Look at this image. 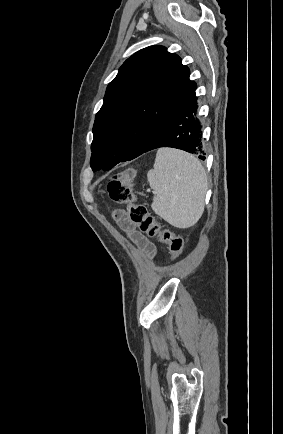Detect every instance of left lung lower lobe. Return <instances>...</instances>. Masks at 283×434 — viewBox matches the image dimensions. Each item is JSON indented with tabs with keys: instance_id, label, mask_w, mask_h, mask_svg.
Masks as SVG:
<instances>
[{
	"instance_id": "1",
	"label": "left lung lower lobe",
	"mask_w": 283,
	"mask_h": 434,
	"mask_svg": "<svg viewBox=\"0 0 283 434\" xmlns=\"http://www.w3.org/2000/svg\"><path fill=\"white\" fill-rule=\"evenodd\" d=\"M197 108V98L193 91L169 114L143 153L160 147L203 153L202 131L196 117ZM199 158L205 160V156L200 155Z\"/></svg>"
}]
</instances>
